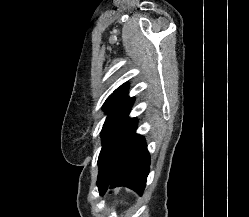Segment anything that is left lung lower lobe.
Returning a JSON list of instances; mask_svg holds the SVG:
<instances>
[{
    "mask_svg": "<svg viewBox=\"0 0 249 217\" xmlns=\"http://www.w3.org/2000/svg\"><path fill=\"white\" fill-rule=\"evenodd\" d=\"M137 120L126 118L120 127L113 167L109 173L99 168L97 185L100 195L107 188L126 186L138 194L146 185L150 168V155L143 136L135 133Z\"/></svg>",
    "mask_w": 249,
    "mask_h": 217,
    "instance_id": "0a47b994",
    "label": "left lung lower lobe"
}]
</instances>
